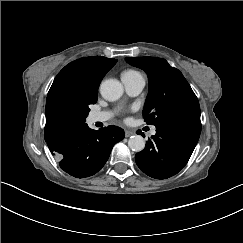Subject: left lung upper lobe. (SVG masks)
<instances>
[{"label": "left lung upper lobe", "instance_id": "left-lung-upper-lobe-1", "mask_svg": "<svg viewBox=\"0 0 243 243\" xmlns=\"http://www.w3.org/2000/svg\"><path fill=\"white\" fill-rule=\"evenodd\" d=\"M125 60L147 73L149 93L143 110L147 124L201 123L198 99L178 69L157 57H126Z\"/></svg>", "mask_w": 243, "mask_h": 243}]
</instances>
